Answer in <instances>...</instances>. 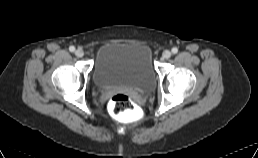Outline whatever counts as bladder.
I'll use <instances>...</instances> for the list:
<instances>
[{"mask_svg":"<svg viewBox=\"0 0 258 158\" xmlns=\"http://www.w3.org/2000/svg\"><path fill=\"white\" fill-rule=\"evenodd\" d=\"M93 82L101 89L126 86L140 92L153 90L156 72L146 44L110 42L96 52Z\"/></svg>","mask_w":258,"mask_h":158,"instance_id":"31cf9c89","label":"bladder"}]
</instances>
